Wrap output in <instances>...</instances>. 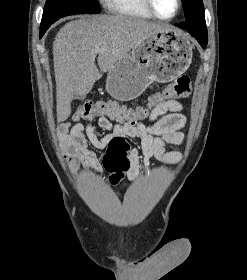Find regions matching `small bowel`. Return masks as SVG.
Here are the masks:
<instances>
[{"mask_svg": "<svg viewBox=\"0 0 247 280\" xmlns=\"http://www.w3.org/2000/svg\"><path fill=\"white\" fill-rule=\"evenodd\" d=\"M182 110L183 105L180 102L169 100L152 109L149 124L113 123L108 117L101 116L98 119V126L106 131L103 136L96 133L92 124L69 122L59 126V135L72 169L83 166L93 173L100 172L102 164L96 153L88 149L89 145L102 150L114 139H124L127 142L129 139H140V149L130 147L128 154L129 176L135 179L139 174L147 173L152 158L166 164L180 160V152L167 151L165 146L180 145L184 140L181 129L185 125L186 118Z\"/></svg>", "mask_w": 247, "mask_h": 280, "instance_id": "obj_1", "label": "small bowel"}]
</instances>
